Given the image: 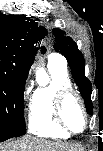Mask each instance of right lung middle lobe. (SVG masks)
Wrapping results in <instances>:
<instances>
[{"label":"right lung middle lobe","mask_w":103,"mask_h":151,"mask_svg":"<svg viewBox=\"0 0 103 151\" xmlns=\"http://www.w3.org/2000/svg\"><path fill=\"white\" fill-rule=\"evenodd\" d=\"M25 78L0 71V141L26 133L23 91Z\"/></svg>","instance_id":"right-lung-middle-lobe-1"}]
</instances>
